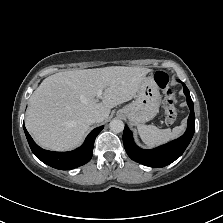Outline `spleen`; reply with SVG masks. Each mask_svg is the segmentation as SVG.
Listing matches in <instances>:
<instances>
[{
	"label": "spleen",
	"instance_id": "spleen-1",
	"mask_svg": "<svg viewBox=\"0 0 223 223\" xmlns=\"http://www.w3.org/2000/svg\"><path fill=\"white\" fill-rule=\"evenodd\" d=\"M186 123H182L175 128L160 130L154 126L141 125L137 127L141 141L147 147H158L178 138L184 131Z\"/></svg>",
	"mask_w": 223,
	"mask_h": 223
}]
</instances>
